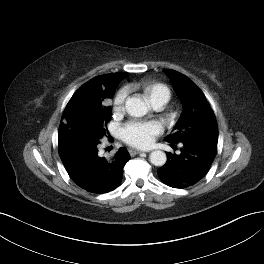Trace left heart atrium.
<instances>
[{"instance_id": "39dd6f15", "label": "left heart atrium", "mask_w": 264, "mask_h": 264, "mask_svg": "<svg viewBox=\"0 0 264 264\" xmlns=\"http://www.w3.org/2000/svg\"><path fill=\"white\" fill-rule=\"evenodd\" d=\"M159 133L160 127L153 121H132L121 129L123 140L138 148L151 146Z\"/></svg>"}]
</instances>
